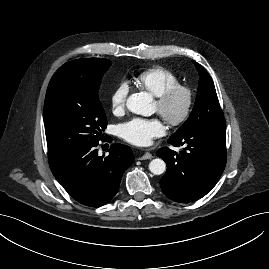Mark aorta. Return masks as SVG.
I'll use <instances>...</instances> for the list:
<instances>
[{"label": "aorta", "instance_id": "762f6f07", "mask_svg": "<svg viewBox=\"0 0 269 269\" xmlns=\"http://www.w3.org/2000/svg\"><path fill=\"white\" fill-rule=\"evenodd\" d=\"M152 96L149 93L141 92L129 96L126 105L132 113L147 116L151 114ZM149 170L154 175H161L166 170V163L160 159H153L149 163Z\"/></svg>", "mask_w": 269, "mask_h": 269}]
</instances>
